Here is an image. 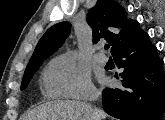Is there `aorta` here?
<instances>
[{
    "instance_id": "aorta-1",
    "label": "aorta",
    "mask_w": 165,
    "mask_h": 120,
    "mask_svg": "<svg viewBox=\"0 0 165 120\" xmlns=\"http://www.w3.org/2000/svg\"><path fill=\"white\" fill-rule=\"evenodd\" d=\"M69 54H73V52L71 51V52H69Z\"/></svg>"
}]
</instances>
